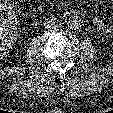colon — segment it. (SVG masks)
I'll use <instances>...</instances> for the list:
<instances>
[{
	"label": "colon",
	"instance_id": "obj_1",
	"mask_svg": "<svg viewBox=\"0 0 113 113\" xmlns=\"http://www.w3.org/2000/svg\"><path fill=\"white\" fill-rule=\"evenodd\" d=\"M31 0H0V55L5 54L14 34V25L20 14L21 6Z\"/></svg>",
	"mask_w": 113,
	"mask_h": 113
}]
</instances>
